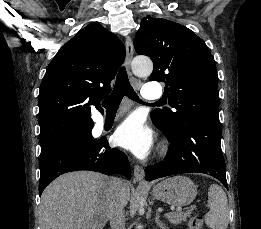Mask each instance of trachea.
<instances>
[{"mask_svg": "<svg viewBox=\"0 0 261 229\" xmlns=\"http://www.w3.org/2000/svg\"><path fill=\"white\" fill-rule=\"evenodd\" d=\"M124 96L131 100L140 101L133 87L130 85L127 72L123 67L118 72L113 91L109 97L102 102V106L105 107L107 112L116 113Z\"/></svg>", "mask_w": 261, "mask_h": 229, "instance_id": "trachea-1", "label": "trachea"}]
</instances>
